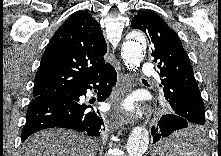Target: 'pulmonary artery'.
<instances>
[{
    "label": "pulmonary artery",
    "instance_id": "1",
    "mask_svg": "<svg viewBox=\"0 0 221 156\" xmlns=\"http://www.w3.org/2000/svg\"><path fill=\"white\" fill-rule=\"evenodd\" d=\"M154 72V69L151 64L145 63L142 67V73L144 75H151Z\"/></svg>",
    "mask_w": 221,
    "mask_h": 156
}]
</instances>
